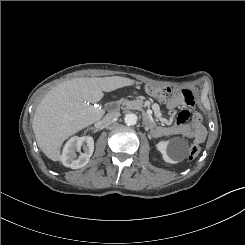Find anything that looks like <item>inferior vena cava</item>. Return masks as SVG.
<instances>
[{
    "instance_id": "inferior-vena-cava-1",
    "label": "inferior vena cava",
    "mask_w": 245,
    "mask_h": 245,
    "mask_svg": "<svg viewBox=\"0 0 245 245\" xmlns=\"http://www.w3.org/2000/svg\"><path fill=\"white\" fill-rule=\"evenodd\" d=\"M119 116H120V113L117 112V111L109 112V113H107V114L104 116V118H103L102 121H103L104 123H107V122H109V121H111V120L117 119Z\"/></svg>"
}]
</instances>
